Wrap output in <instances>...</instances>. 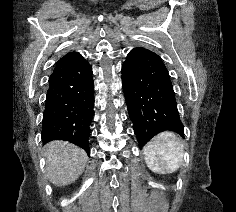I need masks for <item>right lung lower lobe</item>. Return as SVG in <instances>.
I'll list each match as a JSON object with an SVG mask.
<instances>
[{"instance_id":"98d812e1","label":"right lung lower lobe","mask_w":236,"mask_h":212,"mask_svg":"<svg viewBox=\"0 0 236 212\" xmlns=\"http://www.w3.org/2000/svg\"><path fill=\"white\" fill-rule=\"evenodd\" d=\"M92 68L78 52L60 58L48 81L42 121V140L69 141L89 153L93 118Z\"/></svg>"}]
</instances>
